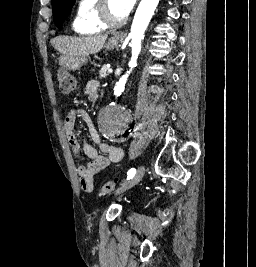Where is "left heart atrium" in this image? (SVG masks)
Wrapping results in <instances>:
<instances>
[{"instance_id":"left-heart-atrium-1","label":"left heart atrium","mask_w":256,"mask_h":267,"mask_svg":"<svg viewBox=\"0 0 256 267\" xmlns=\"http://www.w3.org/2000/svg\"><path fill=\"white\" fill-rule=\"evenodd\" d=\"M135 2L136 0H114V3L116 4L118 13L120 15V21L115 27L119 28L125 24L128 16L133 10Z\"/></svg>"}]
</instances>
